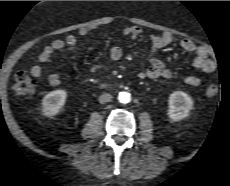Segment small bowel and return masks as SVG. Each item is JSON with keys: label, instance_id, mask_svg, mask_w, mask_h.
Wrapping results in <instances>:
<instances>
[{"label": "small bowel", "instance_id": "small-bowel-1", "mask_svg": "<svg viewBox=\"0 0 230 186\" xmlns=\"http://www.w3.org/2000/svg\"><path fill=\"white\" fill-rule=\"evenodd\" d=\"M96 27H84L79 30L80 36H87ZM123 34L132 38H137L143 34L141 28L129 25L123 29ZM151 46L148 54V61L150 67L144 71H141L138 75L139 79H170L172 72L166 68L164 63L155 57V52L158 49L164 48L175 41V36L172 34L151 35ZM78 43V37L76 34H68L64 39H56L50 45L46 46L39 54L36 63H34L30 69L31 74L37 78H43L45 72L43 65L48 63L51 57L64 50L75 49ZM179 46L182 50L191 53L193 55V66L204 72L212 73L216 69V63L210 59L209 53L206 48L195 44L192 40L184 38L179 41ZM123 55L122 49L118 45L111 47L109 52V61L116 62L121 59ZM62 76L59 73H52L48 75V81L52 86H58L61 83ZM185 83L190 86H198L200 79L197 76L189 75L185 78Z\"/></svg>", "mask_w": 230, "mask_h": 186}]
</instances>
